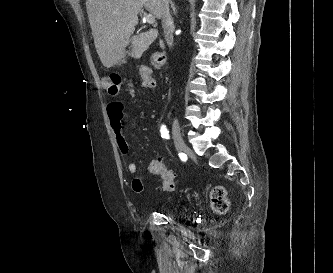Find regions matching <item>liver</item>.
<instances>
[{"label": "liver", "instance_id": "obj_1", "mask_svg": "<svg viewBox=\"0 0 333 273\" xmlns=\"http://www.w3.org/2000/svg\"><path fill=\"white\" fill-rule=\"evenodd\" d=\"M86 8L96 51L106 68L124 58L143 8L161 19L159 0H86Z\"/></svg>", "mask_w": 333, "mask_h": 273}]
</instances>
